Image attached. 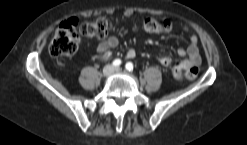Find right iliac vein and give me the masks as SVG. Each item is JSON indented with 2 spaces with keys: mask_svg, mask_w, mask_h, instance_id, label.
Returning a JSON list of instances; mask_svg holds the SVG:
<instances>
[{
  "mask_svg": "<svg viewBox=\"0 0 247 145\" xmlns=\"http://www.w3.org/2000/svg\"><path fill=\"white\" fill-rule=\"evenodd\" d=\"M112 67H106L105 69H104V74L105 75H110L111 73H112Z\"/></svg>",
  "mask_w": 247,
  "mask_h": 145,
  "instance_id": "right-iliac-vein-1",
  "label": "right iliac vein"
}]
</instances>
